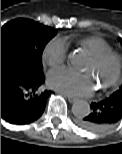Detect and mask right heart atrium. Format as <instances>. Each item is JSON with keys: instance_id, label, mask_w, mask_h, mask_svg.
I'll return each instance as SVG.
<instances>
[{"instance_id": "obj_1", "label": "right heart atrium", "mask_w": 122, "mask_h": 154, "mask_svg": "<svg viewBox=\"0 0 122 154\" xmlns=\"http://www.w3.org/2000/svg\"><path fill=\"white\" fill-rule=\"evenodd\" d=\"M67 45L61 38L51 39L43 50V60L51 68L60 67L67 57Z\"/></svg>"}]
</instances>
